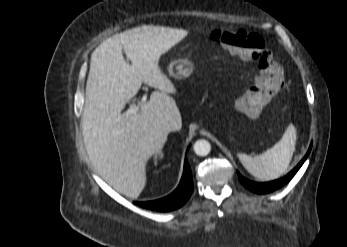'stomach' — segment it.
Listing matches in <instances>:
<instances>
[{
	"label": "stomach",
	"mask_w": 347,
	"mask_h": 247,
	"mask_svg": "<svg viewBox=\"0 0 347 247\" xmlns=\"http://www.w3.org/2000/svg\"><path fill=\"white\" fill-rule=\"evenodd\" d=\"M194 69V65L189 60L179 59L175 61L168 68V73L170 76L176 79H183L189 77Z\"/></svg>",
	"instance_id": "0dacf381"
}]
</instances>
